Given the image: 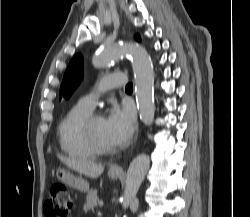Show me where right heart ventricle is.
Masks as SVG:
<instances>
[{
  "label": "right heart ventricle",
  "instance_id": "right-heart-ventricle-1",
  "mask_svg": "<svg viewBox=\"0 0 250 217\" xmlns=\"http://www.w3.org/2000/svg\"><path fill=\"white\" fill-rule=\"evenodd\" d=\"M92 112V108L81 100L73 104L65 113L57 128V136L61 150L76 159H88L95 152L84 139L81 125L83 120Z\"/></svg>",
  "mask_w": 250,
  "mask_h": 217
}]
</instances>
